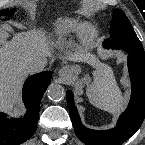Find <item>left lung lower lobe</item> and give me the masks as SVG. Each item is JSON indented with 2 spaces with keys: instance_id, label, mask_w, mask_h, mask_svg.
<instances>
[{
  "instance_id": "0a47b994",
  "label": "left lung lower lobe",
  "mask_w": 145,
  "mask_h": 145,
  "mask_svg": "<svg viewBox=\"0 0 145 145\" xmlns=\"http://www.w3.org/2000/svg\"><path fill=\"white\" fill-rule=\"evenodd\" d=\"M104 47L109 48L107 41ZM132 82V94L126 111L119 118L115 128L98 131L86 128L80 120L74 105L73 94L67 91V105L78 138L87 145H120L130 138L141 126L145 117V55L125 50Z\"/></svg>"
}]
</instances>
